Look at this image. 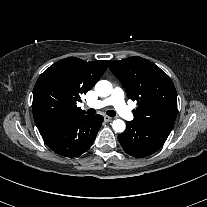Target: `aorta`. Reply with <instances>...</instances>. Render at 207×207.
<instances>
[{
	"instance_id": "obj_1",
	"label": "aorta",
	"mask_w": 207,
	"mask_h": 207,
	"mask_svg": "<svg viewBox=\"0 0 207 207\" xmlns=\"http://www.w3.org/2000/svg\"><path fill=\"white\" fill-rule=\"evenodd\" d=\"M95 90L97 94L101 97H107L112 92V84L107 80H100L95 85ZM113 130L117 133L124 132L126 125L121 119H116L112 123Z\"/></svg>"
}]
</instances>
